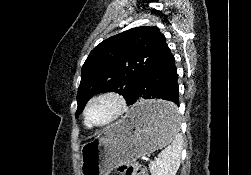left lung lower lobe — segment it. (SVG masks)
Wrapping results in <instances>:
<instances>
[{
	"mask_svg": "<svg viewBox=\"0 0 251 175\" xmlns=\"http://www.w3.org/2000/svg\"><path fill=\"white\" fill-rule=\"evenodd\" d=\"M178 74L174 56L168 46L159 59L141 77L135 86L128 105L139 99H163L172 102L156 106L142 107L137 110L136 117L142 121L165 123L176 119L179 106Z\"/></svg>",
	"mask_w": 251,
	"mask_h": 175,
	"instance_id": "1",
	"label": "left lung lower lobe"
}]
</instances>
